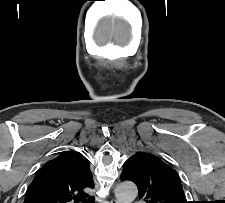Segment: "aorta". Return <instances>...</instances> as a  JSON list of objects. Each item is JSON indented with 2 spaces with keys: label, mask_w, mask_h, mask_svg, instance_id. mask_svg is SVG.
<instances>
[{
  "label": "aorta",
  "mask_w": 225,
  "mask_h": 203,
  "mask_svg": "<svg viewBox=\"0 0 225 203\" xmlns=\"http://www.w3.org/2000/svg\"><path fill=\"white\" fill-rule=\"evenodd\" d=\"M138 189L133 182H122L115 189V196L119 203H132L137 197Z\"/></svg>",
  "instance_id": "762f6f07"
}]
</instances>
